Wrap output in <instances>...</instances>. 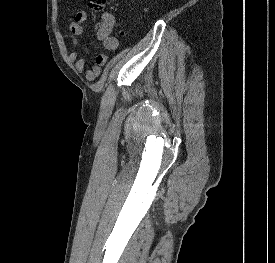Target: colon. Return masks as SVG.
I'll use <instances>...</instances> for the list:
<instances>
[{
	"instance_id": "obj_1",
	"label": "colon",
	"mask_w": 275,
	"mask_h": 263,
	"mask_svg": "<svg viewBox=\"0 0 275 263\" xmlns=\"http://www.w3.org/2000/svg\"><path fill=\"white\" fill-rule=\"evenodd\" d=\"M106 0H89V7L93 11H101L105 6ZM103 28V24L100 29Z\"/></svg>"
}]
</instances>
